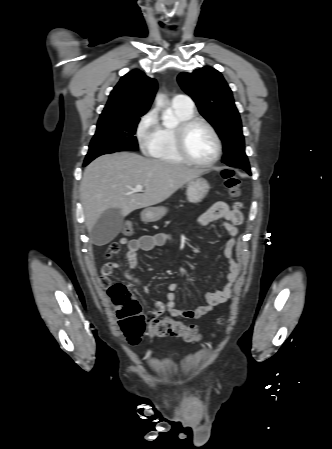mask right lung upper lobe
<instances>
[{
    "mask_svg": "<svg viewBox=\"0 0 332 449\" xmlns=\"http://www.w3.org/2000/svg\"><path fill=\"white\" fill-rule=\"evenodd\" d=\"M157 91V82L139 70L124 75L109 95L100 116L145 114Z\"/></svg>",
    "mask_w": 332,
    "mask_h": 449,
    "instance_id": "obj_1",
    "label": "right lung upper lobe"
}]
</instances>
